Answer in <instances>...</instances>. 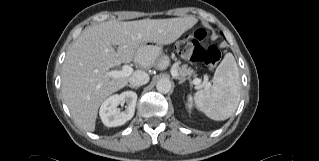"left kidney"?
Here are the masks:
<instances>
[{
	"label": "left kidney",
	"mask_w": 319,
	"mask_h": 161,
	"mask_svg": "<svg viewBox=\"0 0 319 161\" xmlns=\"http://www.w3.org/2000/svg\"><path fill=\"white\" fill-rule=\"evenodd\" d=\"M187 107H188V109H190V110H191V108H192V98H191V96H188Z\"/></svg>",
	"instance_id": "5707ae66"
}]
</instances>
